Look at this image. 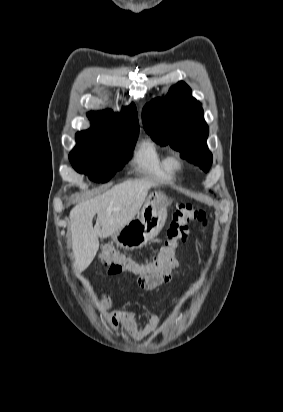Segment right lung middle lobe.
I'll return each mask as SVG.
<instances>
[{
  "label": "right lung middle lobe",
  "instance_id": "obj_1",
  "mask_svg": "<svg viewBox=\"0 0 283 412\" xmlns=\"http://www.w3.org/2000/svg\"><path fill=\"white\" fill-rule=\"evenodd\" d=\"M138 134L122 137H93L77 133L69 159L79 173L96 182H107L131 158Z\"/></svg>",
  "mask_w": 283,
  "mask_h": 412
}]
</instances>
